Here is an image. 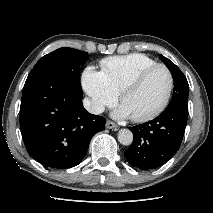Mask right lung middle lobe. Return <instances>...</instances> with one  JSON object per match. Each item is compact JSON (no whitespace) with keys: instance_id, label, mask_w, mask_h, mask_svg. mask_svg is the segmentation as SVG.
<instances>
[{"instance_id":"1","label":"right lung middle lobe","mask_w":213,"mask_h":213,"mask_svg":"<svg viewBox=\"0 0 213 213\" xmlns=\"http://www.w3.org/2000/svg\"><path fill=\"white\" fill-rule=\"evenodd\" d=\"M87 52L73 48H59L43 56L33 67L28 77L38 74H55L67 80L78 90H82L80 84V68L87 61Z\"/></svg>"}]
</instances>
